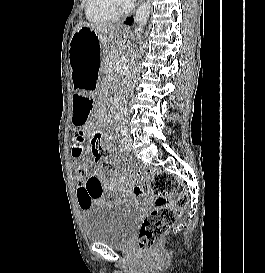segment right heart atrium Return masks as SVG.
I'll use <instances>...</instances> for the list:
<instances>
[{
  "label": "right heart atrium",
  "instance_id": "right-heart-atrium-1",
  "mask_svg": "<svg viewBox=\"0 0 265 273\" xmlns=\"http://www.w3.org/2000/svg\"><path fill=\"white\" fill-rule=\"evenodd\" d=\"M113 1H114L115 5L118 7L124 6L125 2H126V0H113Z\"/></svg>",
  "mask_w": 265,
  "mask_h": 273
}]
</instances>
